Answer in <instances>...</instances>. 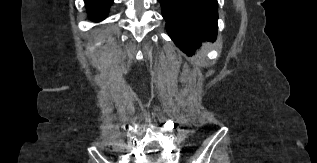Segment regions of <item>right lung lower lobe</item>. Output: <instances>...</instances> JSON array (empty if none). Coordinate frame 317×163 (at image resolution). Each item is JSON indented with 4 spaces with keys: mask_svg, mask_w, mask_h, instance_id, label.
Returning <instances> with one entry per match:
<instances>
[{
    "mask_svg": "<svg viewBox=\"0 0 317 163\" xmlns=\"http://www.w3.org/2000/svg\"><path fill=\"white\" fill-rule=\"evenodd\" d=\"M112 2L113 0H85L88 12L94 21H100L106 17Z\"/></svg>",
    "mask_w": 317,
    "mask_h": 163,
    "instance_id": "right-lung-lower-lobe-1",
    "label": "right lung lower lobe"
}]
</instances>
